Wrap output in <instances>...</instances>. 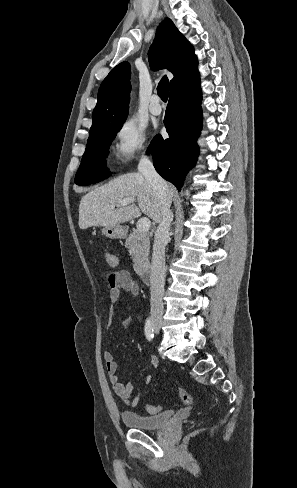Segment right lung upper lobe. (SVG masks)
I'll use <instances>...</instances> for the list:
<instances>
[{"label": "right lung upper lobe", "instance_id": "obj_1", "mask_svg": "<svg viewBox=\"0 0 297 488\" xmlns=\"http://www.w3.org/2000/svg\"><path fill=\"white\" fill-rule=\"evenodd\" d=\"M148 55L153 70L166 68L174 75L171 90L199 76L192 45L169 18L159 25ZM130 77V64L122 62L104 79L93 110L90 134L101 127L123 125L128 114Z\"/></svg>", "mask_w": 297, "mask_h": 488}]
</instances>
